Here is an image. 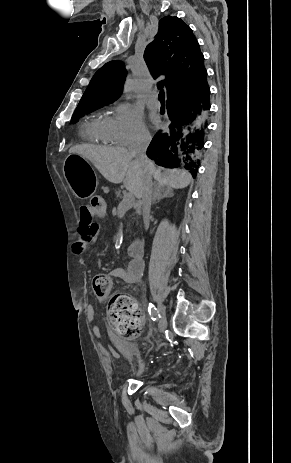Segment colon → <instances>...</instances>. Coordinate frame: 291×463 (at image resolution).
<instances>
[{"label": "colon", "mask_w": 291, "mask_h": 463, "mask_svg": "<svg viewBox=\"0 0 291 463\" xmlns=\"http://www.w3.org/2000/svg\"><path fill=\"white\" fill-rule=\"evenodd\" d=\"M90 206L102 216L106 211V202L101 197H94ZM92 289L98 299L110 297L113 282L107 275H97L92 280ZM108 318L113 330L125 337L138 335L142 326V316L137 302L128 296H113L108 305Z\"/></svg>", "instance_id": "1"}]
</instances>
